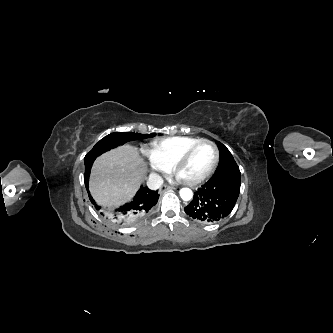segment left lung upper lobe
<instances>
[{"label": "left lung upper lobe", "mask_w": 333, "mask_h": 333, "mask_svg": "<svg viewBox=\"0 0 333 333\" xmlns=\"http://www.w3.org/2000/svg\"><path fill=\"white\" fill-rule=\"evenodd\" d=\"M217 145L220 151V160L216 173L237 166L232 154L226 146H224L221 142H218Z\"/></svg>", "instance_id": "1"}]
</instances>
